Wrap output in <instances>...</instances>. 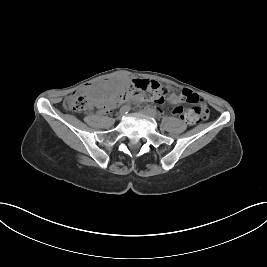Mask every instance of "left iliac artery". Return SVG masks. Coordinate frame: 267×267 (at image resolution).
Masks as SVG:
<instances>
[{"label":"left iliac artery","mask_w":267,"mask_h":267,"mask_svg":"<svg viewBox=\"0 0 267 267\" xmlns=\"http://www.w3.org/2000/svg\"><path fill=\"white\" fill-rule=\"evenodd\" d=\"M146 110L155 118H158L159 115L158 113L156 112V110H154L153 108H150V107H146Z\"/></svg>","instance_id":"obj_1"}]
</instances>
